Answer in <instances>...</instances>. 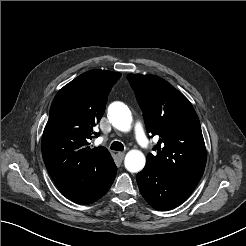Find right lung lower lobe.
<instances>
[{
  "mask_svg": "<svg viewBox=\"0 0 246 246\" xmlns=\"http://www.w3.org/2000/svg\"><path fill=\"white\" fill-rule=\"evenodd\" d=\"M116 172V165L110 168L90 169L80 175L55 181V184L68 199L79 204H91L106 194Z\"/></svg>",
  "mask_w": 246,
  "mask_h": 246,
  "instance_id": "right-lung-lower-lobe-1",
  "label": "right lung lower lobe"
}]
</instances>
